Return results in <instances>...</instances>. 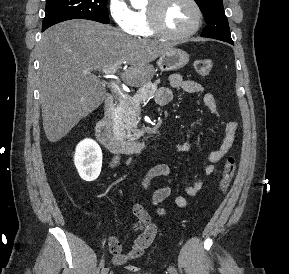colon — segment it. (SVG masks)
Segmentation results:
<instances>
[{
    "mask_svg": "<svg viewBox=\"0 0 289 274\" xmlns=\"http://www.w3.org/2000/svg\"><path fill=\"white\" fill-rule=\"evenodd\" d=\"M195 71L202 77H208L213 69V62L211 59H198L194 63ZM236 172V160L233 156H228L225 160L224 167L221 174L219 183V189L221 192H225L230 186ZM128 271L137 272L138 267L135 265H128L126 267Z\"/></svg>",
    "mask_w": 289,
    "mask_h": 274,
    "instance_id": "colon-1",
    "label": "colon"
}]
</instances>
